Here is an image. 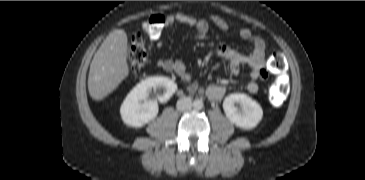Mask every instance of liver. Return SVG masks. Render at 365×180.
Wrapping results in <instances>:
<instances>
[{
  "label": "liver",
  "mask_w": 365,
  "mask_h": 180,
  "mask_svg": "<svg viewBox=\"0 0 365 180\" xmlns=\"http://www.w3.org/2000/svg\"><path fill=\"white\" fill-rule=\"evenodd\" d=\"M128 38L122 29L112 31L103 41L90 64L89 94L103 100L129 75L127 62Z\"/></svg>",
  "instance_id": "6515ba94"
}]
</instances>
